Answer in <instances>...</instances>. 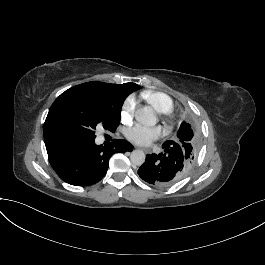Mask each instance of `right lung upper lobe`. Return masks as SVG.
Returning <instances> with one entry per match:
<instances>
[{"label": "right lung upper lobe", "instance_id": "obj_1", "mask_svg": "<svg viewBox=\"0 0 265 265\" xmlns=\"http://www.w3.org/2000/svg\"><path fill=\"white\" fill-rule=\"evenodd\" d=\"M120 87L127 89L131 93L140 88V86L135 83H124V84H121ZM45 145H46L48 155L53 153L54 151H56L58 148L61 147V146L50 144L46 141H45Z\"/></svg>", "mask_w": 265, "mask_h": 265}]
</instances>
